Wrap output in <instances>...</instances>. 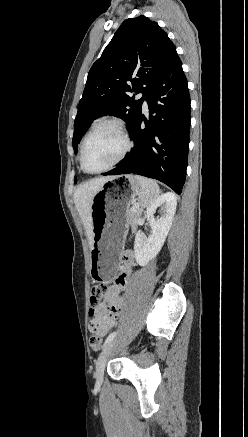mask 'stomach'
<instances>
[{"instance_id":"1","label":"stomach","mask_w":248,"mask_h":437,"mask_svg":"<svg viewBox=\"0 0 248 437\" xmlns=\"http://www.w3.org/2000/svg\"><path fill=\"white\" fill-rule=\"evenodd\" d=\"M140 195L138 182L128 174L110 178L93 196L91 262L97 286H112L129 226L127 210L136 200L140 204Z\"/></svg>"}]
</instances>
